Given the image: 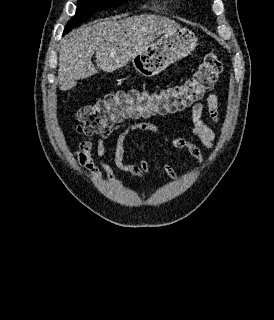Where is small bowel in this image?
I'll return each mask as SVG.
<instances>
[{"mask_svg":"<svg viewBox=\"0 0 274 320\" xmlns=\"http://www.w3.org/2000/svg\"><path fill=\"white\" fill-rule=\"evenodd\" d=\"M206 110L209 117L214 121H219V105L218 99L214 94H210L206 98ZM205 104L197 102L191 107V121L193 124V134L197 137L203 146L212 150L215 146V133L213 129L204 121L203 113ZM119 133L115 142L113 153L114 166L126 173H135L142 177H150L152 175L151 165L147 157L141 158L138 164L125 162V142L128 136L136 131H146L159 135L158 126L150 122L133 123L126 126H118L116 128ZM113 129H108L101 132L97 138L88 137L79 143L78 149L75 151V156L79 165L87 170L96 178L105 177L109 184L120 187L122 184L117 179L114 168L106 161V141L113 133ZM169 146L177 149H186L198 162L204 164V158L200 148L193 142L184 139L176 138L170 141ZM97 162L95 160V157ZM164 173L172 180H178L179 175L175 169L163 163Z\"/></svg>","mask_w":274,"mask_h":320,"instance_id":"1","label":"small bowel"}]
</instances>
